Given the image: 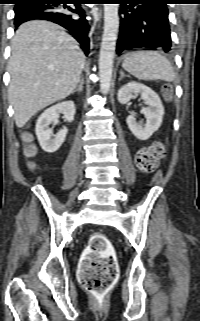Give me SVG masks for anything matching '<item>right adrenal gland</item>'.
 I'll use <instances>...</instances> for the list:
<instances>
[{
    "label": "right adrenal gland",
    "mask_w": 200,
    "mask_h": 321,
    "mask_svg": "<svg viewBox=\"0 0 200 321\" xmlns=\"http://www.w3.org/2000/svg\"><path fill=\"white\" fill-rule=\"evenodd\" d=\"M83 84H84V80L81 79V81L79 82V85L78 87L72 92V93H75V92H82L83 91Z\"/></svg>",
    "instance_id": "obj_1"
}]
</instances>
